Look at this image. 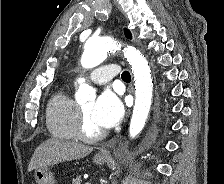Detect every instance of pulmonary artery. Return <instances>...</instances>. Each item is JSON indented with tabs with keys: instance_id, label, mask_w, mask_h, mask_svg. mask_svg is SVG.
Returning <instances> with one entry per match:
<instances>
[{
	"instance_id": "e3ab8cb5",
	"label": "pulmonary artery",
	"mask_w": 224,
	"mask_h": 184,
	"mask_svg": "<svg viewBox=\"0 0 224 184\" xmlns=\"http://www.w3.org/2000/svg\"><path fill=\"white\" fill-rule=\"evenodd\" d=\"M119 71L115 64L104 65L89 74V79L96 84H105L117 76Z\"/></svg>"
}]
</instances>
